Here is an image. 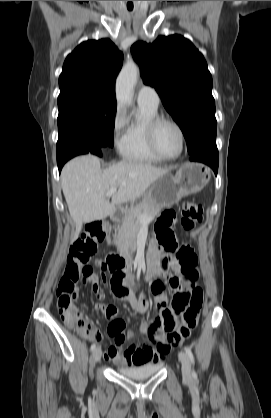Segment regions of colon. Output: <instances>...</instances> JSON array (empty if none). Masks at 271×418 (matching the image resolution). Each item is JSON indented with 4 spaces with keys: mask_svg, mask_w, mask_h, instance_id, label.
<instances>
[{
    "mask_svg": "<svg viewBox=\"0 0 271 418\" xmlns=\"http://www.w3.org/2000/svg\"><path fill=\"white\" fill-rule=\"evenodd\" d=\"M174 216L165 212L155 227L157 243L166 251L175 254L179 264V272L184 277L183 290L175 294L172 307L180 316L171 312L164 315L162 330L167 333L166 343L162 348L176 347L187 340L198 323L203 305V290L195 286L198 278L197 258L189 246H179L171 229ZM202 220V207L194 202H186L181 211V227L185 231L192 230ZM106 236L105 225L96 221L90 223L85 233L70 248L56 290V303L62 321L70 328L80 329L86 333H95L92 322L87 319L82 308L75 303L78 296L77 284L87 281L93 275L88 265L90 258L96 253L99 243Z\"/></svg>",
    "mask_w": 271,
    "mask_h": 418,
    "instance_id": "obj_1",
    "label": "colon"
}]
</instances>
